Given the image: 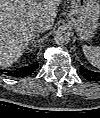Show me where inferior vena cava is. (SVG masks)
Segmentation results:
<instances>
[{
	"label": "inferior vena cava",
	"instance_id": "1",
	"mask_svg": "<svg viewBox=\"0 0 100 118\" xmlns=\"http://www.w3.org/2000/svg\"><path fill=\"white\" fill-rule=\"evenodd\" d=\"M49 29V26L44 21H36L31 25V30L38 33H43Z\"/></svg>",
	"mask_w": 100,
	"mask_h": 118
}]
</instances>
